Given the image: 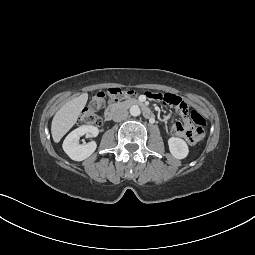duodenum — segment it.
<instances>
[{
    "mask_svg": "<svg viewBox=\"0 0 255 255\" xmlns=\"http://www.w3.org/2000/svg\"><path fill=\"white\" fill-rule=\"evenodd\" d=\"M132 106L140 107L147 119H154L152 110L143 101L133 97L110 104L105 110L104 117L106 120H111L118 111Z\"/></svg>",
    "mask_w": 255,
    "mask_h": 255,
    "instance_id": "1",
    "label": "duodenum"
}]
</instances>
